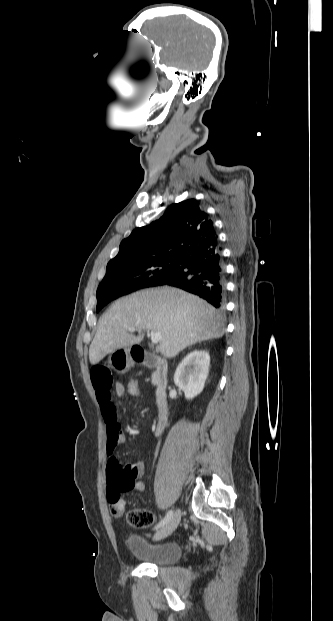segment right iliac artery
Masks as SVG:
<instances>
[{"label":"right iliac artery","mask_w":333,"mask_h":621,"mask_svg":"<svg viewBox=\"0 0 333 621\" xmlns=\"http://www.w3.org/2000/svg\"><path fill=\"white\" fill-rule=\"evenodd\" d=\"M172 516H173V511H172V510H169V511H168V513L166 514V516L164 517V519H163V520H161V521H160V522H159V523H158V524L154 527V529H158V528H160V527L164 526L167 522H169V521H170V519L172 518Z\"/></svg>","instance_id":"obj_1"}]
</instances>
